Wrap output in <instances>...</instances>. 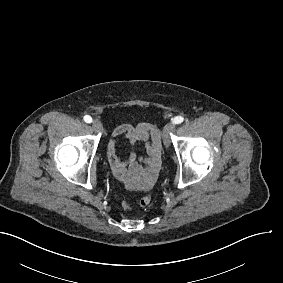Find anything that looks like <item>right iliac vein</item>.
I'll return each instance as SVG.
<instances>
[{
    "mask_svg": "<svg viewBox=\"0 0 283 283\" xmlns=\"http://www.w3.org/2000/svg\"><path fill=\"white\" fill-rule=\"evenodd\" d=\"M92 127L94 128L95 131L101 132L103 130L102 123L99 120H94L92 122Z\"/></svg>",
    "mask_w": 283,
    "mask_h": 283,
    "instance_id": "obj_1",
    "label": "right iliac vein"
}]
</instances>
